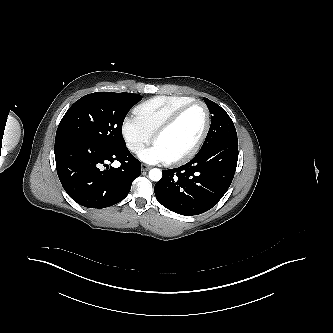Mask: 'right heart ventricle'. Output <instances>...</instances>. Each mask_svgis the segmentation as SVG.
Wrapping results in <instances>:
<instances>
[{
    "label": "right heart ventricle",
    "instance_id": "e07e8e85",
    "mask_svg": "<svg viewBox=\"0 0 333 333\" xmlns=\"http://www.w3.org/2000/svg\"><path fill=\"white\" fill-rule=\"evenodd\" d=\"M194 101L188 96L164 95L150 98L139 104L135 116L152 133L177 109Z\"/></svg>",
    "mask_w": 333,
    "mask_h": 333
}]
</instances>
